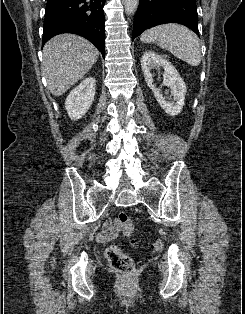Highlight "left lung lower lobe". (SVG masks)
<instances>
[{
  "mask_svg": "<svg viewBox=\"0 0 245 314\" xmlns=\"http://www.w3.org/2000/svg\"><path fill=\"white\" fill-rule=\"evenodd\" d=\"M196 0H140L134 16L132 40L147 28L179 23L198 33Z\"/></svg>",
  "mask_w": 245,
  "mask_h": 314,
  "instance_id": "0a47b994",
  "label": "left lung lower lobe"
}]
</instances>
